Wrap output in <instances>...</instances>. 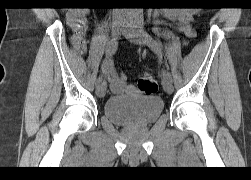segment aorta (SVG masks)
Segmentation results:
<instances>
[{"mask_svg": "<svg viewBox=\"0 0 251 180\" xmlns=\"http://www.w3.org/2000/svg\"><path fill=\"white\" fill-rule=\"evenodd\" d=\"M133 11L136 15L142 16V9L141 8H135V9H133Z\"/></svg>", "mask_w": 251, "mask_h": 180, "instance_id": "1", "label": "aorta"}]
</instances>
